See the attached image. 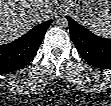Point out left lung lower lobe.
Segmentation results:
<instances>
[{"label": "left lung lower lobe", "instance_id": "obj_1", "mask_svg": "<svg viewBox=\"0 0 111 106\" xmlns=\"http://www.w3.org/2000/svg\"><path fill=\"white\" fill-rule=\"evenodd\" d=\"M67 19L72 41L83 59L98 68H111V39L98 37L70 17Z\"/></svg>", "mask_w": 111, "mask_h": 106}]
</instances>
